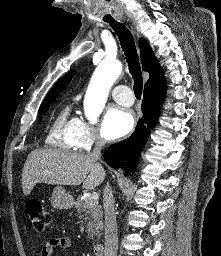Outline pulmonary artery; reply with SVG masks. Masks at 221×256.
Returning <instances> with one entry per match:
<instances>
[{
  "instance_id": "pulmonary-artery-1",
  "label": "pulmonary artery",
  "mask_w": 221,
  "mask_h": 256,
  "mask_svg": "<svg viewBox=\"0 0 221 256\" xmlns=\"http://www.w3.org/2000/svg\"><path fill=\"white\" fill-rule=\"evenodd\" d=\"M113 99L123 105L130 106L133 104L134 98L131 89L126 85H117L112 89Z\"/></svg>"
}]
</instances>
